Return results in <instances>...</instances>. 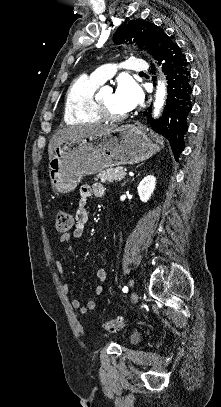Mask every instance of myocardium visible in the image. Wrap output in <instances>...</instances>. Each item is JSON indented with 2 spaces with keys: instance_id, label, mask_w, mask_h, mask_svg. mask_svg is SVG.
I'll list each match as a JSON object with an SVG mask.
<instances>
[{
  "instance_id": "f54148a6",
  "label": "myocardium",
  "mask_w": 221,
  "mask_h": 407,
  "mask_svg": "<svg viewBox=\"0 0 221 407\" xmlns=\"http://www.w3.org/2000/svg\"><path fill=\"white\" fill-rule=\"evenodd\" d=\"M95 110L97 115L101 119L105 120L120 121L128 117L127 113L124 114L113 113L101 100L95 102Z\"/></svg>"
}]
</instances>
